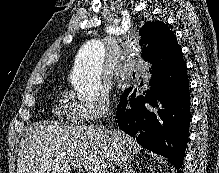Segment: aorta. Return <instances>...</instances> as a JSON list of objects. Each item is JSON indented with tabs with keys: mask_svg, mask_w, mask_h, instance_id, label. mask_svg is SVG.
<instances>
[{
	"mask_svg": "<svg viewBox=\"0 0 219 173\" xmlns=\"http://www.w3.org/2000/svg\"><path fill=\"white\" fill-rule=\"evenodd\" d=\"M104 58L105 47L98 39L90 40L80 48L72 81L79 98L88 100L100 95V75Z\"/></svg>",
	"mask_w": 219,
	"mask_h": 173,
	"instance_id": "aorta-1",
	"label": "aorta"
}]
</instances>
